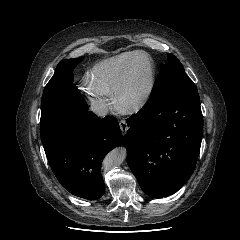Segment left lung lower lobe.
I'll return each mask as SVG.
<instances>
[{"mask_svg": "<svg viewBox=\"0 0 240 240\" xmlns=\"http://www.w3.org/2000/svg\"><path fill=\"white\" fill-rule=\"evenodd\" d=\"M128 166L141 189L162 198L192 175L200 152L203 117L197 91L175 90L149 99L127 119Z\"/></svg>", "mask_w": 240, "mask_h": 240, "instance_id": "0a47b994", "label": "left lung lower lobe"}]
</instances>
